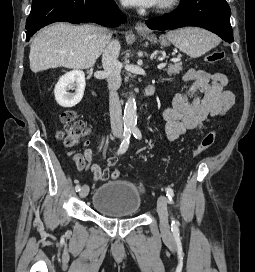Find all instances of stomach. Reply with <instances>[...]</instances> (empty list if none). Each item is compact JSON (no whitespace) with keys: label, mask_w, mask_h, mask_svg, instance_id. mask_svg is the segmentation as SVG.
Instances as JSON below:
<instances>
[{"label":"stomach","mask_w":255,"mask_h":272,"mask_svg":"<svg viewBox=\"0 0 255 272\" xmlns=\"http://www.w3.org/2000/svg\"><path fill=\"white\" fill-rule=\"evenodd\" d=\"M143 38L149 40L152 43H159L161 46H167L169 41L166 36H160L159 39H157L154 35H146V34H140Z\"/></svg>","instance_id":"1"}]
</instances>
